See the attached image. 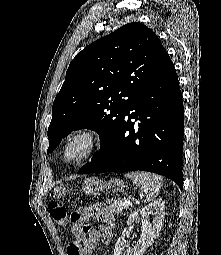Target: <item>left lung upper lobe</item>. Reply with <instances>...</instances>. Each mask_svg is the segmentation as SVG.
Returning a JSON list of instances; mask_svg holds the SVG:
<instances>
[{"label":"left lung upper lobe","mask_w":221,"mask_h":255,"mask_svg":"<svg viewBox=\"0 0 221 255\" xmlns=\"http://www.w3.org/2000/svg\"><path fill=\"white\" fill-rule=\"evenodd\" d=\"M165 54L157 35L140 22L86 46L70 63L54 100L47 153L71 131L83 128L99 134L101 150Z\"/></svg>","instance_id":"1"}]
</instances>
